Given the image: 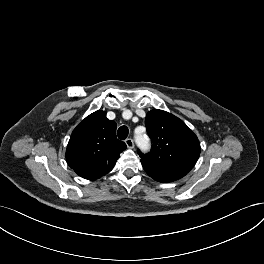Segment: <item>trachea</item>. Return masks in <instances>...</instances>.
I'll use <instances>...</instances> for the list:
<instances>
[{
    "label": "trachea",
    "instance_id": "3493384b",
    "mask_svg": "<svg viewBox=\"0 0 264 264\" xmlns=\"http://www.w3.org/2000/svg\"><path fill=\"white\" fill-rule=\"evenodd\" d=\"M128 133H129L128 128L126 126H121L118 129L117 135L119 139L125 140L128 136Z\"/></svg>",
    "mask_w": 264,
    "mask_h": 264
}]
</instances>
